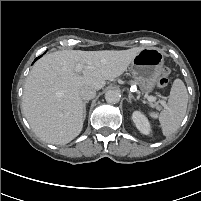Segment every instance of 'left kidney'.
I'll return each mask as SVG.
<instances>
[{"label":"left kidney","instance_id":"5707ae66","mask_svg":"<svg viewBox=\"0 0 201 201\" xmlns=\"http://www.w3.org/2000/svg\"><path fill=\"white\" fill-rule=\"evenodd\" d=\"M133 122L135 123L137 129L145 134L148 135L151 131L150 124L148 119L139 111H134L132 114Z\"/></svg>","mask_w":201,"mask_h":201}]
</instances>
